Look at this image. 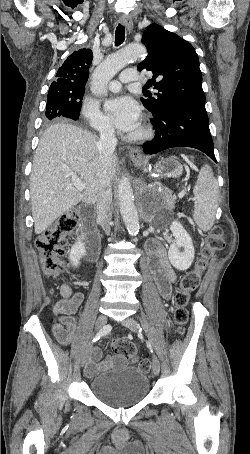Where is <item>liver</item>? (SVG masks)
<instances>
[{
	"mask_svg": "<svg viewBox=\"0 0 250 454\" xmlns=\"http://www.w3.org/2000/svg\"><path fill=\"white\" fill-rule=\"evenodd\" d=\"M100 153L98 141L88 131L57 123L43 133L30 176V196L35 234H41L58 217L80 202L94 204L99 196ZM117 157L110 164L111 180L116 175ZM79 176L83 192L72 185Z\"/></svg>",
	"mask_w": 250,
	"mask_h": 454,
	"instance_id": "obj_1",
	"label": "liver"
}]
</instances>
